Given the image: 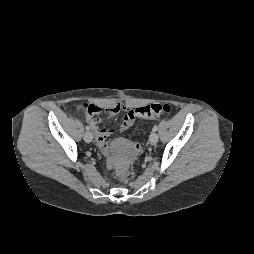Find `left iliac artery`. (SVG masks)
Wrapping results in <instances>:
<instances>
[{"label": "left iliac artery", "instance_id": "left-iliac-artery-1", "mask_svg": "<svg viewBox=\"0 0 254 254\" xmlns=\"http://www.w3.org/2000/svg\"><path fill=\"white\" fill-rule=\"evenodd\" d=\"M157 129H158V126L155 125V126L153 127V131H157Z\"/></svg>", "mask_w": 254, "mask_h": 254}]
</instances>
